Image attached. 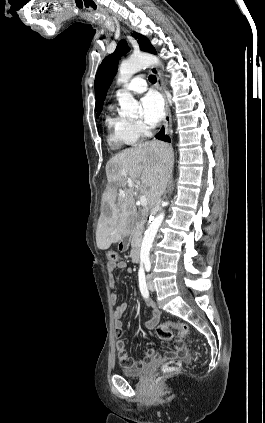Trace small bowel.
Returning <instances> with one entry per match:
<instances>
[{
    "instance_id": "small-bowel-1",
    "label": "small bowel",
    "mask_w": 265,
    "mask_h": 423,
    "mask_svg": "<svg viewBox=\"0 0 265 423\" xmlns=\"http://www.w3.org/2000/svg\"><path fill=\"white\" fill-rule=\"evenodd\" d=\"M116 269H126L129 273L133 271L132 267L128 266L127 263L123 260H118L116 263H109L107 264V271H108V282L111 289L114 291L110 295V302L112 304H116L118 301V293L115 287V280L113 276V271ZM147 307L151 311V317L146 322V327L149 330H153L160 320V311L155 306V304L151 300H145ZM128 308L127 303L119 304L113 311V318H114V328L115 334L118 339L116 347L119 354V360L122 365H126L127 367H141L145 365L147 360H154L156 358V354L152 349L146 350L144 354V359L142 360H134L130 358L126 353V347L124 342L121 340L124 323L122 321V317L125 314ZM183 349L181 347L177 348V353L182 352Z\"/></svg>"
}]
</instances>
